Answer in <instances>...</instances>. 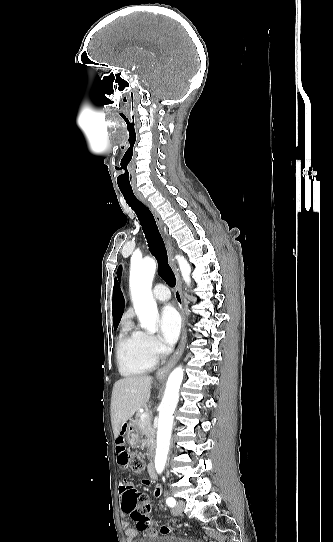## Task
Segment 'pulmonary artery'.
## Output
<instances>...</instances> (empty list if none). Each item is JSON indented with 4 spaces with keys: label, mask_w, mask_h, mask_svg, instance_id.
<instances>
[{
    "label": "pulmonary artery",
    "mask_w": 333,
    "mask_h": 542,
    "mask_svg": "<svg viewBox=\"0 0 333 542\" xmlns=\"http://www.w3.org/2000/svg\"><path fill=\"white\" fill-rule=\"evenodd\" d=\"M167 286L163 284H157L151 291V296L159 303H165L171 298V293L167 291ZM191 299V295H188Z\"/></svg>",
    "instance_id": "obj_1"
}]
</instances>
